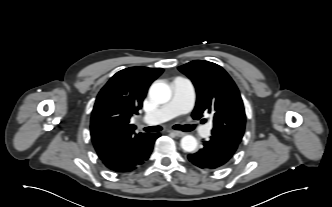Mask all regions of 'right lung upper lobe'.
I'll return each instance as SVG.
<instances>
[{"label":"right lung upper lobe","mask_w":332,"mask_h":207,"mask_svg":"<svg viewBox=\"0 0 332 207\" xmlns=\"http://www.w3.org/2000/svg\"><path fill=\"white\" fill-rule=\"evenodd\" d=\"M160 68L130 67L117 72L101 89L92 111L91 138L102 161L126 157L147 133L135 134L130 118L138 114Z\"/></svg>","instance_id":"right-lung-upper-lobe-1"}]
</instances>
